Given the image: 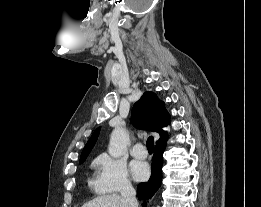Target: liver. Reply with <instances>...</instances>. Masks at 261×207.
<instances>
[{"label": "liver", "instance_id": "1", "mask_svg": "<svg viewBox=\"0 0 261 207\" xmlns=\"http://www.w3.org/2000/svg\"><path fill=\"white\" fill-rule=\"evenodd\" d=\"M82 207H129L119 194H107L94 198Z\"/></svg>", "mask_w": 261, "mask_h": 207}]
</instances>
